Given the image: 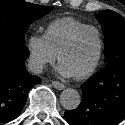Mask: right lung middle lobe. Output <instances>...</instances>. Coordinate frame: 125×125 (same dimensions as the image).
Returning a JSON list of instances; mask_svg holds the SVG:
<instances>
[{"instance_id":"dd1d6c3e","label":"right lung middle lobe","mask_w":125,"mask_h":125,"mask_svg":"<svg viewBox=\"0 0 125 125\" xmlns=\"http://www.w3.org/2000/svg\"><path fill=\"white\" fill-rule=\"evenodd\" d=\"M53 9L24 0H0V37L25 44L24 36L30 24Z\"/></svg>"}]
</instances>
